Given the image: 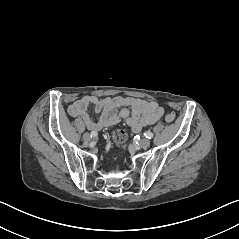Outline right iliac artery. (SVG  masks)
<instances>
[{"instance_id": "obj_1", "label": "right iliac artery", "mask_w": 239, "mask_h": 239, "mask_svg": "<svg viewBox=\"0 0 239 239\" xmlns=\"http://www.w3.org/2000/svg\"><path fill=\"white\" fill-rule=\"evenodd\" d=\"M97 136V132L96 131H92L91 132V137L95 138Z\"/></svg>"}]
</instances>
